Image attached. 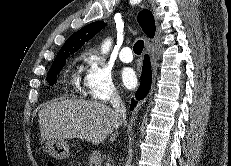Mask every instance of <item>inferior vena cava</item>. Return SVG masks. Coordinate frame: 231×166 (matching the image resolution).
Here are the masks:
<instances>
[{"label":"inferior vena cava","instance_id":"602c4592","mask_svg":"<svg viewBox=\"0 0 231 166\" xmlns=\"http://www.w3.org/2000/svg\"><path fill=\"white\" fill-rule=\"evenodd\" d=\"M111 104L113 108L115 109L116 113L119 114L123 118V121L125 122L126 121V107L121 97L117 93L112 94Z\"/></svg>","mask_w":231,"mask_h":166}]
</instances>
